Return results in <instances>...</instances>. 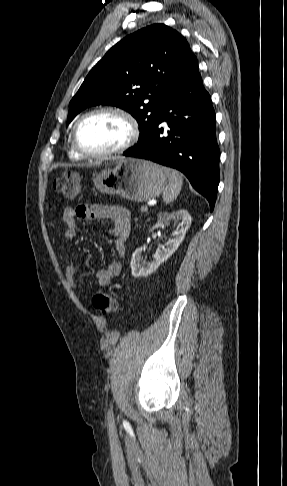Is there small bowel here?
Segmentation results:
<instances>
[{
    "label": "small bowel",
    "mask_w": 287,
    "mask_h": 486,
    "mask_svg": "<svg viewBox=\"0 0 287 486\" xmlns=\"http://www.w3.org/2000/svg\"><path fill=\"white\" fill-rule=\"evenodd\" d=\"M63 220L66 229L63 241L68 257L70 256V242L78 232L79 220H101L109 222L108 230L114 237V248L118 256L126 254V243L130 236V213L124 207L118 205H79L77 207H67L63 213ZM122 265L114 260L108 266L100 268L96 272V284L105 287L110 284L113 278L121 273ZM65 278L68 286L76 291L79 287L75 279V267L71 261L65 268Z\"/></svg>",
    "instance_id": "small-bowel-1"
}]
</instances>
